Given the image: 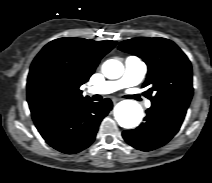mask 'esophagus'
Instances as JSON below:
<instances>
[{"label": "esophagus", "mask_w": 212, "mask_h": 183, "mask_svg": "<svg viewBox=\"0 0 212 183\" xmlns=\"http://www.w3.org/2000/svg\"><path fill=\"white\" fill-rule=\"evenodd\" d=\"M112 101L115 104V103H117L119 101V99L118 98H113Z\"/></svg>", "instance_id": "34e87169"}]
</instances>
